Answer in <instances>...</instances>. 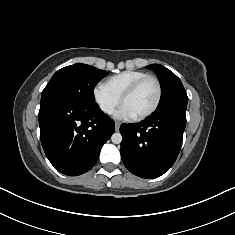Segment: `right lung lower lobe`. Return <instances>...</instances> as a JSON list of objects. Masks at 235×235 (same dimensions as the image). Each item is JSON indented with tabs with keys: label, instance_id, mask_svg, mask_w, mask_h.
<instances>
[{
	"label": "right lung lower lobe",
	"instance_id": "98d812e1",
	"mask_svg": "<svg viewBox=\"0 0 235 235\" xmlns=\"http://www.w3.org/2000/svg\"><path fill=\"white\" fill-rule=\"evenodd\" d=\"M40 139L51 164L61 173L77 176L96 163L101 148L115 132L114 121L96 104L64 100L40 104Z\"/></svg>",
	"mask_w": 235,
	"mask_h": 235
}]
</instances>
